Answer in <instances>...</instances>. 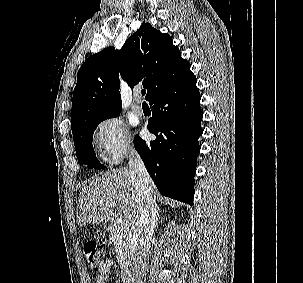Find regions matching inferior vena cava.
<instances>
[{"mask_svg":"<svg viewBox=\"0 0 303 283\" xmlns=\"http://www.w3.org/2000/svg\"><path fill=\"white\" fill-rule=\"evenodd\" d=\"M128 165L137 189L139 212V219L134 231L138 243L134 249L133 283H146V258L150 247L149 240L155 227L154 218L157 213V205L152 180L141 157L134 149H131L129 153Z\"/></svg>","mask_w":303,"mask_h":283,"instance_id":"602c4592","label":"inferior vena cava"}]
</instances>
